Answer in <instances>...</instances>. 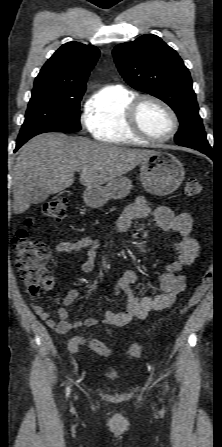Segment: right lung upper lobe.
<instances>
[{"label": "right lung upper lobe", "mask_w": 222, "mask_h": 447, "mask_svg": "<svg viewBox=\"0 0 222 447\" xmlns=\"http://www.w3.org/2000/svg\"><path fill=\"white\" fill-rule=\"evenodd\" d=\"M98 57L99 50L95 46L68 42L42 67L34 88L49 87L65 95H83L87 77Z\"/></svg>", "instance_id": "obj_1"}]
</instances>
